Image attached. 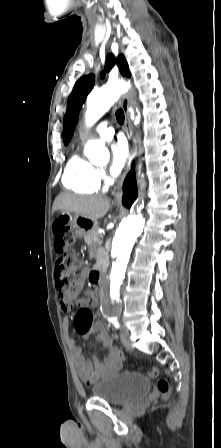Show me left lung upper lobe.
Segmentation results:
<instances>
[{"mask_svg": "<svg viewBox=\"0 0 221 448\" xmlns=\"http://www.w3.org/2000/svg\"><path fill=\"white\" fill-rule=\"evenodd\" d=\"M118 67L120 72L129 77L131 75L128 64L123 55L118 56ZM115 64V57L109 54L106 59L105 70L108 72ZM105 73L102 72L101 77H104ZM94 85V76H83L75 84L74 89L68 98L67 111L63 122V140L67 145L73 135V131L76 127L79 111L82 104L85 102L86 97Z\"/></svg>", "mask_w": 221, "mask_h": 448, "instance_id": "left-lung-upper-lobe-1", "label": "left lung upper lobe"}]
</instances>
